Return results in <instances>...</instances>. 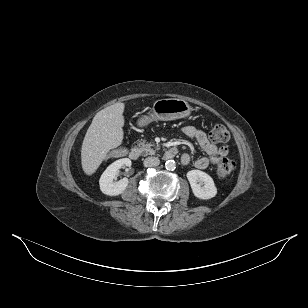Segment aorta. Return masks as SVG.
<instances>
[{
	"label": "aorta",
	"instance_id": "aorta-1",
	"mask_svg": "<svg viewBox=\"0 0 308 308\" xmlns=\"http://www.w3.org/2000/svg\"><path fill=\"white\" fill-rule=\"evenodd\" d=\"M165 167H166L167 170L173 171L176 168V163H175L174 160H168L165 163Z\"/></svg>",
	"mask_w": 308,
	"mask_h": 308
}]
</instances>
